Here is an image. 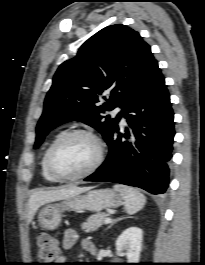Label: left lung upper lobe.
Wrapping results in <instances>:
<instances>
[{"label": "left lung upper lobe", "mask_w": 205, "mask_h": 265, "mask_svg": "<svg viewBox=\"0 0 205 265\" xmlns=\"http://www.w3.org/2000/svg\"><path fill=\"white\" fill-rule=\"evenodd\" d=\"M156 63L150 46L137 31L116 24L97 32L76 57L56 71L36 127L34 148L53 128L72 120L94 127L108 143L119 116L111 119L102 114L117 106L123 108ZM103 93L109 94V99L101 104Z\"/></svg>", "instance_id": "1"}]
</instances>
